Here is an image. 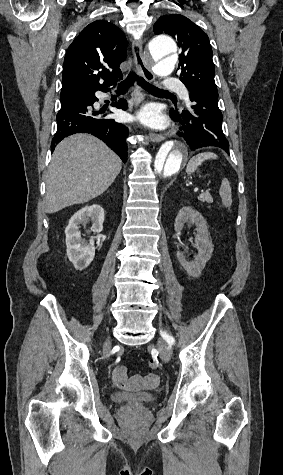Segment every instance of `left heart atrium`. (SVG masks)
I'll return each mask as SVG.
<instances>
[{
  "label": "left heart atrium",
  "instance_id": "obj_1",
  "mask_svg": "<svg viewBox=\"0 0 283 475\" xmlns=\"http://www.w3.org/2000/svg\"><path fill=\"white\" fill-rule=\"evenodd\" d=\"M136 119L143 126L150 129H163L167 125L166 117L161 113L156 104H148L140 109Z\"/></svg>",
  "mask_w": 283,
  "mask_h": 475
}]
</instances>
